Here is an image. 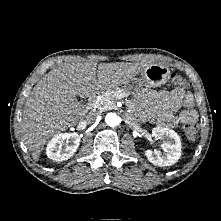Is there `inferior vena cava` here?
I'll return each mask as SVG.
<instances>
[{
	"mask_svg": "<svg viewBox=\"0 0 221 221\" xmlns=\"http://www.w3.org/2000/svg\"><path fill=\"white\" fill-rule=\"evenodd\" d=\"M96 119H97V114L91 113L86 117L85 122L87 124H93L96 121Z\"/></svg>",
	"mask_w": 221,
	"mask_h": 221,
	"instance_id": "inferior-vena-cava-1",
	"label": "inferior vena cava"
}]
</instances>
